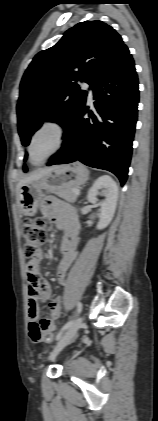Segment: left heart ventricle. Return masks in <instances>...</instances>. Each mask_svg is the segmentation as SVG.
<instances>
[{
    "mask_svg": "<svg viewBox=\"0 0 158 421\" xmlns=\"http://www.w3.org/2000/svg\"><path fill=\"white\" fill-rule=\"evenodd\" d=\"M57 143V133L51 128L42 129L35 137L32 147L31 156L34 162L44 159L55 148Z\"/></svg>",
    "mask_w": 158,
    "mask_h": 421,
    "instance_id": "b2bd125f",
    "label": "left heart ventricle"
}]
</instances>
